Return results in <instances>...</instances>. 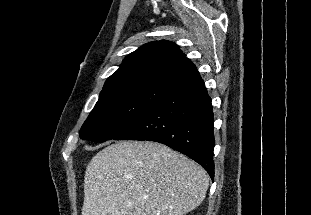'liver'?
Listing matches in <instances>:
<instances>
[{
    "instance_id": "obj_1",
    "label": "liver",
    "mask_w": 311,
    "mask_h": 215,
    "mask_svg": "<svg viewBox=\"0 0 311 215\" xmlns=\"http://www.w3.org/2000/svg\"><path fill=\"white\" fill-rule=\"evenodd\" d=\"M208 186L200 165L165 145L116 142L86 168L82 215H186Z\"/></svg>"
}]
</instances>
